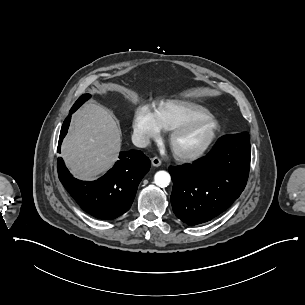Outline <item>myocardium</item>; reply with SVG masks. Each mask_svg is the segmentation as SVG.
<instances>
[{"label":"myocardium","instance_id":"f54148a6","mask_svg":"<svg viewBox=\"0 0 305 305\" xmlns=\"http://www.w3.org/2000/svg\"><path fill=\"white\" fill-rule=\"evenodd\" d=\"M206 121H210L213 124V130L208 138V140L199 146H185L183 144V139L192 126L200 124ZM222 134V124L218 117L213 113L208 114L203 117H199L194 120H190L180 125L177 129L173 131L170 137V147L173 156L180 161H191L203 154L207 153L216 144L219 137Z\"/></svg>","mask_w":305,"mask_h":305}]
</instances>
